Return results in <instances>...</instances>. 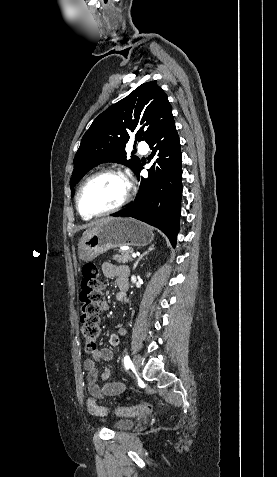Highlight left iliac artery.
<instances>
[{
	"mask_svg": "<svg viewBox=\"0 0 277 477\" xmlns=\"http://www.w3.org/2000/svg\"><path fill=\"white\" fill-rule=\"evenodd\" d=\"M124 365H125L126 369H129L130 367H132V362H131L129 356L124 357Z\"/></svg>",
	"mask_w": 277,
	"mask_h": 477,
	"instance_id": "left-iliac-artery-1",
	"label": "left iliac artery"
}]
</instances>
